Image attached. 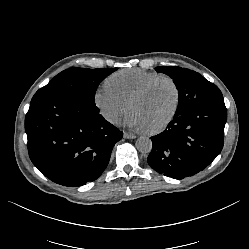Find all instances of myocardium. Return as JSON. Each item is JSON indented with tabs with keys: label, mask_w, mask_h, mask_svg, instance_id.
<instances>
[{
	"label": "myocardium",
	"mask_w": 249,
	"mask_h": 249,
	"mask_svg": "<svg viewBox=\"0 0 249 249\" xmlns=\"http://www.w3.org/2000/svg\"><path fill=\"white\" fill-rule=\"evenodd\" d=\"M161 81H168L172 84L175 90V94H176V103L169 117L165 119L159 126L153 129L147 130L146 132L148 134H158V133L163 132L173 123L176 116L178 115V112L181 106L182 95H181V90H180V87L177 81L169 75H160L158 77H155L151 79L150 81L146 82L141 88H139L127 102L128 107L130 108L133 102L143 97L154 85H156L158 82H161Z\"/></svg>",
	"instance_id": "f54148a6"
}]
</instances>
